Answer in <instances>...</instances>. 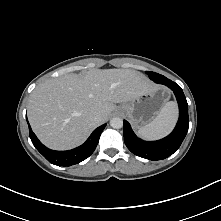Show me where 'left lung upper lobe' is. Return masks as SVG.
<instances>
[{
  "mask_svg": "<svg viewBox=\"0 0 221 221\" xmlns=\"http://www.w3.org/2000/svg\"><path fill=\"white\" fill-rule=\"evenodd\" d=\"M146 73L149 75V78L152 79L156 83H161L163 80L167 79L166 77H164L163 75H160L158 73H154V72H150V71H147Z\"/></svg>",
  "mask_w": 221,
  "mask_h": 221,
  "instance_id": "5c2ea615",
  "label": "left lung upper lobe"
}]
</instances>
